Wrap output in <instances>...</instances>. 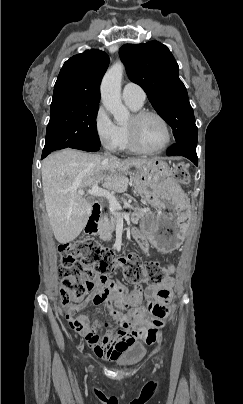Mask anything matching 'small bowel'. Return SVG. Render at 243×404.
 <instances>
[{
	"instance_id": "1",
	"label": "small bowel",
	"mask_w": 243,
	"mask_h": 404,
	"mask_svg": "<svg viewBox=\"0 0 243 404\" xmlns=\"http://www.w3.org/2000/svg\"><path fill=\"white\" fill-rule=\"evenodd\" d=\"M137 239L141 247L146 250L145 240L138 234ZM172 286V279L167 278L159 285L148 287L146 306L124 315L117 309V306L123 302L124 288L106 276L99 280V287L88 299L77 304L65 315V318L73 330L83 335L98 357L115 360L126 347L138 340L147 344H153L157 340L159 329L164 325L169 312ZM89 301L96 304L105 302L108 305L111 316L119 325L116 332L108 322L103 323L104 332L101 333L100 326L91 325L86 315L79 314L76 318L71 316V312H78Z\"/></svg>"
}]
</instances>
